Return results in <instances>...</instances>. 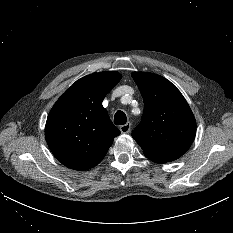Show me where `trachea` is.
I'll use <instances>...</instances> for the list:
<instances>
[{
    "label": "trachea",
    "mask_w": 233,
    "mask_h": 233,
    "mask_svg": "<svg viewBox=\"0 0 233 233\" xmlns=\"http://www.w3.org/2000/svg\"><path fill=\"white\" fill-rule=\"evenodd\" d=\"M127 122V117L125 113L121 110L117 111L114 116V123L116 125H123Z\"/></svg>",
    "instance_id": "1"
}]
</instances>
